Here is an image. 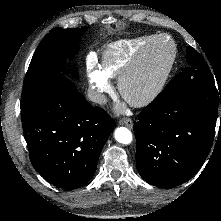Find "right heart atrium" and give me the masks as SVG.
Instances as JSON below:
<instances>
[{
	"label": "right heart atrium",
	"mask_w": 221,
	"mask_h": 221,
	"mask_svg": "<svg viewBox=\"0 0 221 221\" xmlns=\"http://www.w3.org/2000/svg\"><path fill=\"white\" fill-rule=\"evenodd\" d=\"M87 78L94 101L102 104L105 95L112 90L109 78L103 74L100 68L95 66L93 60H90L87 65Z\"/></svg>",
	"instance_id": "right-heart-atrium-1"
}]
</instances>
